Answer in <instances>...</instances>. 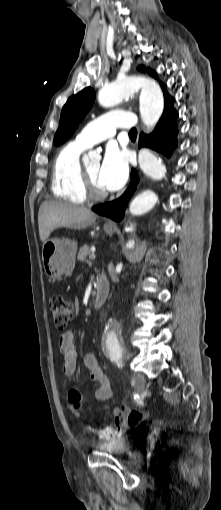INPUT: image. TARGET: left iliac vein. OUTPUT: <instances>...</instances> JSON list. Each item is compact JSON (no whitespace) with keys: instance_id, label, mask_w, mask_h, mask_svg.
<instances>
[{"instance_id":"1","label":"left iliac vein","mask_w":221,"mask_h":510,"mask_svg":"<svg viewBox=\"0 0 221 510\" xmlns=\"http://www.w3.org/2000/svg\"><path fill=\"white\" fill-rule=\"evenodd\" d=\"M124 357H125V354H124ZM132 378H133V380L135 382V385L137 386V388L139 390L144 389L146 380H145V377H144L143 374H141V373H134L132 375Z\"/></svg>"}]
</instances>
